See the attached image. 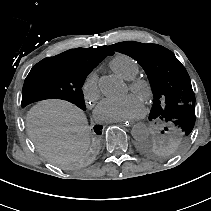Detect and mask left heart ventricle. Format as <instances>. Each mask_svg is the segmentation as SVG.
I'll list each match as a JSON object with an SVG mask.
<instances>
[{"instance_id":"left-heart-ventricle-1","label":"left heart ventricle","mask_w":211,"mask_h":211,"mask_svg":"<svg viewBox=\"0 0 211 211\" xmlns=\"http://www.w3.org/2000/svg\"><path fill=\"white\" fill-rule=\"evenodd\" d=\"M128 90H129V88L127 87V91H128ZM127 91H126V92H127ZM137 95H138V94H137ZM138 96H139L141 99H143L141 95H138Z\"/></svg>"}]
</instances>
